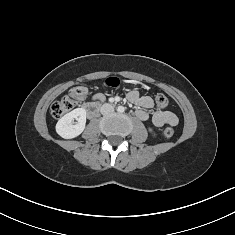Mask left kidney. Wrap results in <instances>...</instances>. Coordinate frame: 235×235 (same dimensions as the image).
<instances>
[{
	"mask_svg": "<svg viewBox=\"0 0 235 235\" xmlns=\"http://www.w3.org/2000/svg\"><path fill=\"white\" fill-rule=\"evenodd\" d=\"M149 131L151 132V133H153V130H152V128H149ZM153 135L155 136V134L153 133Z\"/></svg>",
	"mask_w": 235,
	"mask_h": 235,
	"instance_id": "5707ae66",
	"label": "left kidney"
}]
</instances>
